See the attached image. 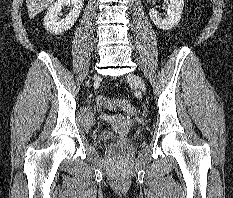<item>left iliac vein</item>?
I'll list each match as a JSON object with an SVG mask.
<instances>
[{"label": "left iliac vein", "mask_w": 233, "mask_h": 198, "mask_svg": "<svg viewBox=\"0 0 233 198\" xmlns=\"http://www.w3.org/2000/svg\"><path fill=\"white\" fill-rule=\"evenodd\" d=\"M128 81L135 85L138 89L141 91L145 92L146 91V86L145 83L143 82L142 78L139 77L138 75L131 73L127 77Z\"/></svg>", "instance_id": "4c4485c4"}]
</instances>
